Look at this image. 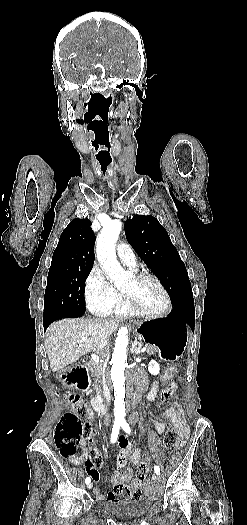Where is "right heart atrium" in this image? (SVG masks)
Returning <instances> with one entry per match:
<instances>
[{"label":"right heart atrium","mask_w":247,"mask_h":525,"mask_svg":"<svg viewBox=\"0 0 247 525\" xmlns=\"http://www.w3.org/2000/svg\"><path fill=\"white\" fill-rule=\"evenodd\" d=\"M115 290L103 271L95 266L84 285V297L88 310L98 316L106 315L113 307Z\"/></svg>","instance_id":"d8ad5b80"}]
</instances>
